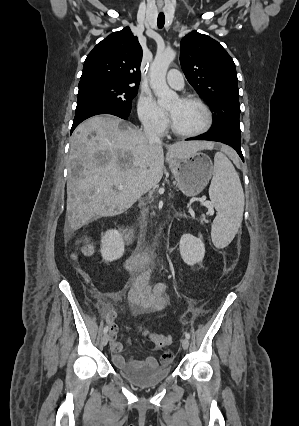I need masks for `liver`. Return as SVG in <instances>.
Listing matches in <instances>:
<instances>
[{"label":"liver","mask_w":299,"mask_h":426,"mask_svg":"<svg viewBox=\"0 0 299 426\" xmlns=\"http://www.w3.org/2000/svg\"><path fill=\"white\" fill-rule=\"evenodd\" d=\"M209 141H184L169 148L171 157L186 158ZM81 167L79 176L73 174ZM164 168L162 143L150 144L145 134L113 116H95L81 123L71 137L68 158L67 221L78 230L95 216L128 210L156 186ZM117 184L123 186L116 190Z\"/></svg>","instance_id":"1"}]
</instances>
